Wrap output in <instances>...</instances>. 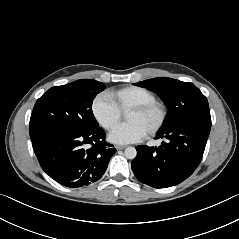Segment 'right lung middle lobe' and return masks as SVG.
I'll list each match as a JSON object with an SVG mask.
<instances>
[{"instance_id":"right-lung-middle-lobe-1","label":"right lung middle lobe","mask_w":239,"mask_h":239,"mask_svg":"<svg viewBox=\"0 0 239 239\" xmlns=\"http://www.w3.org/2000/svg\"><path fill=\"white\" fill-rule=\"evenodd\" d=\"M104 89L103 83L91 79L50 88L33 108L29 123L31 140L48 130L86 131L98 127L92 102Z\"/></svg>"}]
</instances>
